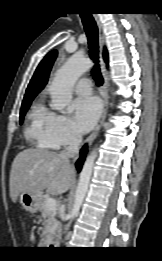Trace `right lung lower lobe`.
Wrapping results in <instances>:
<instances>
[{
  "label": "right lung lower lobe",
  "mask_w": 162,
  "mask_h": 261,
  "mask_svg": "<svg viewBox=\"0 0 162 261\" xmlns=\"http://www.w3.org/2000/svg\"><path fill=\"white\" fill-rule=\"evenodd\" d=\"M86 152H87V146H84L81 150V156H80L79 160L76 162V167H77L78 171L81 170Z\"/></svg>",
  "instance_id": "98d812e1"
}]
</instances>
